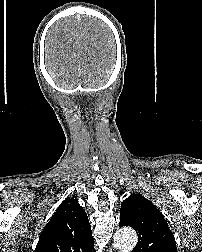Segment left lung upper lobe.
I'll return each mask as SVG.
<instances>
[{
  "label": "left lung upper lobe",
  "instance_id": "left-lung-upper-lobe-1",
  "mask_svg": "<svg viewBox=\"0 0 202 252\" xmlns=\"http://www.w3.org/2000/svg\"><path fill=\"white\" fill-rule=\"evenodd\" d=\"M120 227L135 229L139 242L132 252H177L175 238L162 213L140 194L121 204Z\"/></svg>",
  "mask_w": 202,
  "mask_h": 252
}]
</instances>
